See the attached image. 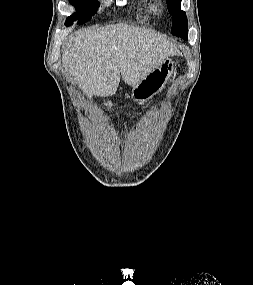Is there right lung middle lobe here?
<instances>
[{"mask_svg":"<svg viewBox=\"0 0 253 285\" xmlns=\"http://www.w3.org/2000/svg\"><path fill=\"white\" fill-rule=\"evenodd\" d=\"M72 5L77 8V12L72 14L66 20V26L72 24L73 21L79 20V24L90 20L96 13L100 3L97 0H69Z\"/></svg>","mask_w":253,"mask_h":285,"instance_id":"dd1d6c3e","label":"right lung middle lobe"}]
</instances>
